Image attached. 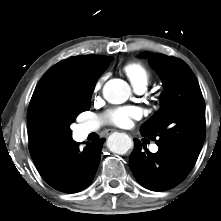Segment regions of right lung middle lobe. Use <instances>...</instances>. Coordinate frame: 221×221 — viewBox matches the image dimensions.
Segmentation results:
<instances>
[{"label":"right lung middle lobe","instance_id":"obj_1","mask_svg":"<svg viewBox=\"0 0 221 221\" xmlns=\"http://www.w3.org/2000/svg\"><path fill=\"white\" fill-rule=\"evenodd\" d=\"M86 78L79 89L67 100L61 113L62 119L45 117L39 127V137L47 144L53 145L72 140L70 124L83 111H87L91 105V96L100 75Z\"/></svg>","mask_w":221,"mask_h":221}]
</instances>
